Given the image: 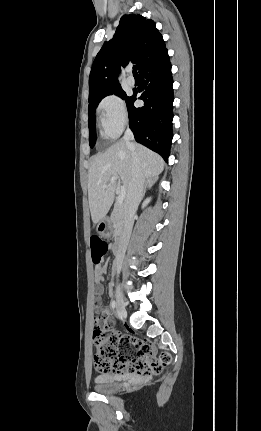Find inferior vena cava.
Instances as JSON below:
<instances>
[{
    "instance_id": "inferior-vena-cava-1",
    "label": "inferior vena cava",
    "mask_w": 261,
    "mask_h": 431,
    "mask_svg": "<svg viewBox=\"0 0 261 431\" xmlns=\"http://www.w3.org/2000/svg\"><path fill=\"white\" fill-rule=\"evenodd\" d=\"M123 140L132 150L133 177L124 202V227L119 240L118 253L116 256L119 260L124 257V254L126 252V248L133 228L134 216L137 211L138 205L143 197L145 187V177L142 173L137 153L134 149L133 143L131 142L134 140V135L129 128L126 129ZM120 270L121 267L118 266V274L120 273Z\"/></svg>"
}]
</instances>
